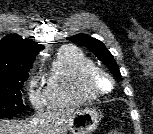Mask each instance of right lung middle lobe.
<instances>
[{
    "mask_svg": "<svg viewBox=\"0 0 153 134\" xmlns=\"http://www.w3.org/2000/svg\"><path fill=\"white\" fill-rule=\"evenodd\" d=\"M28 79V72L0 73V117L26 111L22 103L21 90Z\"/></svg>",
    "mask_w": 153,
    "mask_h": 134,
    "instance_id": "dd1d6c3e",
    "label": "right lung middle lobe"
}]
</instances>
